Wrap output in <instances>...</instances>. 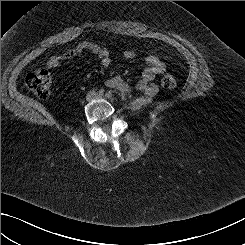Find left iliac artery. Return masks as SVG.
<instances>
[{
  "label": "left iliac artery",
  "instance_id": "left-iliac-artery-1",
  "mask_svg": "<svg viewBox=\"0 0 245 245\" xmlns=\"http://www.w3.org/2000/svg\"><path fill=\"white\" fill-rule=\"evenodd\" d=\"M105 96H106L107 98H112V97H113V94H112L110 91H108V92L105 94Z\"/></svg>",
  "mask_w": 245,
  "mask_h": 245
}]
</instances>
